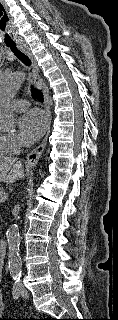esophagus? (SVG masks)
Returning <instances> with one entry per match:
<instances>
[{
	"instance_id": "obj_1",
	"label": "esophagus",
	"mask_w": 118,
	"mask_h": 320,
	"mask_svg": "<svg viewBox=\"0 0 118 320\" xmlns=\"http://www.w3.org/2000/svg\"><path fill=\"white\" fill-rule=\"evenodd\" d=\"M20 47L32 62L33 81L36 84V86L42 90V92L44 94L46 115H47V120H48L47 132H46V135H45L43 141L36 148H34L26 157V164L28 167H31V166H34L35 164H37V162L39 161V159H40V157L46 147L47 139L50 134L51 110H50V105H49V91H48L46 84L43 82L42 78L39 75V68H38L35 56L31 52L28 45L23 44V45H20Z\"/></svg>"
}]
</instances>
